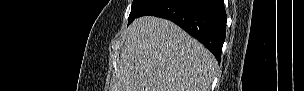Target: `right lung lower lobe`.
Listing matches in <instances>:
<instances>
[{"label": "right lung lower lobe", "instance_id": "obj_1", "mask_svg": "<svg viewBox=\"0 0 304 91\" xmlns=\"http://www.w3.org/2000/svg\"><path fill=\"white\" fill-rule=\"evenodd\" d=\"M145 15L176 23L207 47L220 63L227 21L224 0H150L138 17Z\"/></svg>", "mask_w": 304, "mask_h": 91}]
</instances>
